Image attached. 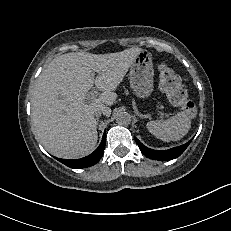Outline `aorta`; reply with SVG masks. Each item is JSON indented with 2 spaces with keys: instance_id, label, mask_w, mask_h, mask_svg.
<instances>
[{
  "instance_id": "1",
  "label": "aorta",
  "mask_w": 231,
  "mask_h": 231,
  "mask_svg": "<svg viewBox=\"0 0 231 231\" xmlns=\"http://www.w3.org/2000/svg\"><path fill=\"white\" fill-rule=\"evenodd\" d=\"M116 123L118 125L127 126L131 123V116L125 111H121L116 115Z\"/></svg>"
}]
</instances>
